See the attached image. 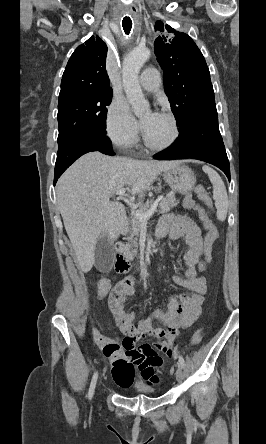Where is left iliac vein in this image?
<instances>
[{
    "label": "left iliac vein",
    "instance_id": "left-iliac-vein-1",
    "mask_svg": "<svg viewBox=\"0 0 266 444\" xmlns=\"http://www.w3.org/2000/svg\"><path fill=\"white\" fill-rule=\"evenodd\" d=\"M184 379V370L183 367L179 364L176 371V380L178 383H182Z\"/></svg>",
    "mask_w": 266,
    "mask_h": 444
}]
</instances>
